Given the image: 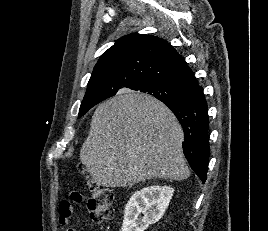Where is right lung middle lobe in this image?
<instances>
[{
	"label": "right lung middle lobe",
	"instance_id": "1",
	"mask_svg": "<svg viewBox=\"0 0 268 231\" xmlns=\"http://www.w3.org/2000/svg\"><path fill=\"white\" fill-rule=\"evenodd\" d=\"M131 89L138 91V92H143V93L152 95L156 97L157 99L161 100L162 102L185 101L192 94V92H189L187 90L171 86L164 82L152 81V80L139 82L135 84ZM94 105L96 104H93L91 102L81 103L80 110H79V118L82 117Z\"/></svg>",
	"mask_w": 268,
	"mask_h": 231
}]
</instances>
